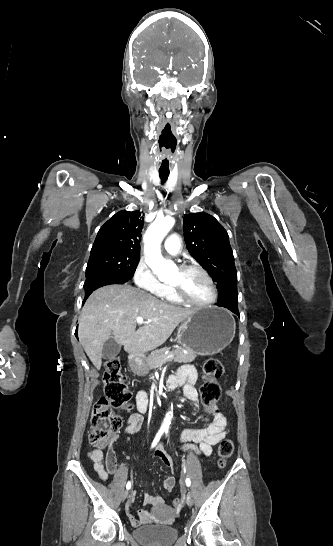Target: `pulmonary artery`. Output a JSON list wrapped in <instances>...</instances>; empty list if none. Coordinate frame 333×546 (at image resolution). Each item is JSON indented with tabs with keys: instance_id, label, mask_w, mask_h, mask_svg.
Here are the masks:
<instances>
[{
	"instance_id": "1",
	"label": "pulmonary artery",
	"mask_w": 333,
	"mask_h": 546,
	"mask_svg": "<svg viewBox=\"0 0 333 546\" xmlns=\"http://www.w3.org/2000/svg\"><path fill=\"white\" fill-rule=\"evenodd\" d=\"M164 249L171 255H176L181 249V240L178 234L174 233L168 236L164 242Z\"/></svg>"
}]
</instances>
